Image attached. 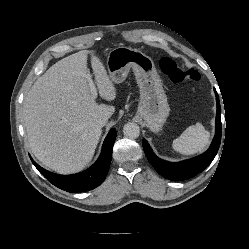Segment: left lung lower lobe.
Segmentation results:
<instances>
[{
  "label": "left lung lower lobe",
  "instance_id": "left-lung-lower-lobe-1",
  "mask_svg": "<svg viewBox=\"0 0 249 249\" xmlns=\"http://www.w3.org/2000/svg\"><path fill=\"white\" fill-rule=\"evenodd\" d=\"M215 95L217 102L215 137L211 143L210 148L205 153L192 159L172 163L158 158L153 153L147 141L143 139V148L148 160L154 166L157 172L163 177L173 181L186 180L202 172L213 161L218 152L222 135L221 108L216 90Z\"/></svg>",
  "mask_w": 249,
  "mask_h": 249
}]
</instances>
